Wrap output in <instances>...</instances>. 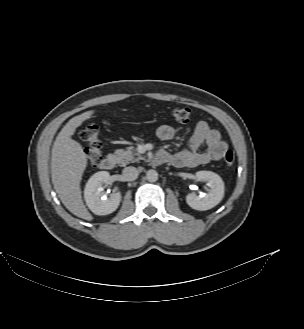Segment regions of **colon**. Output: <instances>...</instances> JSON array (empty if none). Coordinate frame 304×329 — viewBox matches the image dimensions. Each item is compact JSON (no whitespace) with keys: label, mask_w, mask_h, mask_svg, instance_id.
I'll list each match as a JSON object with an SVG mask.
<instances>
[{"label":"colon","mask_w":304,"mask_h":329,"mask_svg":"<svg viewBox=\"0 0 304 329\" xmlns=\"http://www.w3.org/2000/svg\"><path fill=\"white\" fill-rule=\"evenodd\" d=\"M190 110L187 108L175 109L172 113L174 120L184 123L190 119ZM79 137L87 144V163L89 167H96L102 159V143L99 138V128L90 124L79 132ZM223 160L226 165L231 166L235 162L234 152L228 149Z\"/></svg>","instance_id":"obj_1"}]
</instances>
